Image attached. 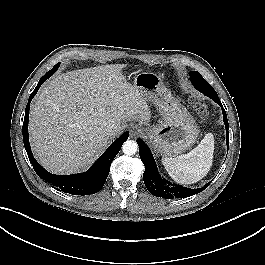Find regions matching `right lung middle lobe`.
<instances>
[{
    "label": "right lung middle lobe",
    "instance_id": "1",
    "mask_svg": "<svg viewBox=\"0 0 265 265\" xmlns=\"http://www.w3.org/2000/svg\"><path fill=\"white\" fill-rule=\"evenodd\" d=\"M59 67V63L57 65L54 66V68L52 70H50L49 72L54 73Z\"/></svg>",
    "mask_w": 265,
    "mask_h": 265
}]
</instances>
